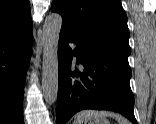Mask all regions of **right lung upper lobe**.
Returning a JSON list of instances; mask_svg holds the SVG:
<instances>
[{
    "label": "right lung upper lobe",
    "mask_w": 156,
    "mask_h": 124,
    "mask_svg": "<svg viewBox=\"0 0 156 124\" xmlns=\"http://www.w3.org/2000/svg\"><path fill=\"white\" fill-rule=\"evenodd\" d=\"M32 29L29 0H0V35Z\"/></svg>",
    "instance_id": "obj_1"
}]
</instances>
